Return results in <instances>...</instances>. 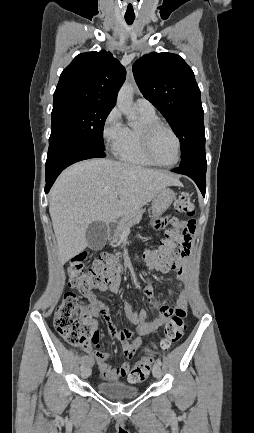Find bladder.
Here are the masks:
<instances>
[{
	"mask_svg": "<svg viewBox=\"0 0 254 433\" xmlns=\"http://www.w3.org/2000/svg\"><path fill=\"white\" fill-rule=\"evenodd\" d=\"M97 390L99 393L110 398H132L140 393V388L129 385L125 382H98Z\"/></svg>",
	"mask_w": 254,
	"mask_h": 433,
	"instance_id": "obj_1",
	"label": "bladder"
}]
</instances>
